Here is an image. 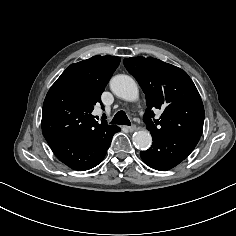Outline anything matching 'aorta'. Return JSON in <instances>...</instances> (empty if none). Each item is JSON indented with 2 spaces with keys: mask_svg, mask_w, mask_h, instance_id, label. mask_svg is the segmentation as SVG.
<instances>
[{
  "mask_svg": "<svg viewBox=\"0 0 236 236\" xmlns=\"http://www.w3.org/2000/svg\"><path fill=\"white\" fill-rule=\"evenodd\" d=\"M111 91L126 101H136L139 96L135 80L128 75H116L110 81ZM133 141L140 149H147L152 144V137L147 130H139L133 134Z\"/></svg>",
  "mask_w": 236,
  "mask_h": 236,
  "instance_id": "1",
  "label": "aorta"
}]
</instances>
